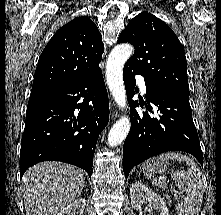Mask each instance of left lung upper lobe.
<instances>
[{
	"label": "left lung upper lobe",
	"instance_id": "obj_1",
	"mask_svg": "<svg viewBox=\"0 0 221 215\" xmlns=\"http://www.w3.org/2000/svg\"><path fill=\"white\" fill-rule=\"evenodd\" d=\"M124 42L135 48L124 67L142 75L146 83L156 88L189 99L185 53L165 22L141 12L121 32L117 43Z\"/></svg>",
	"mask_w": 221,
	"mask_h": 215
}]
</instances>
